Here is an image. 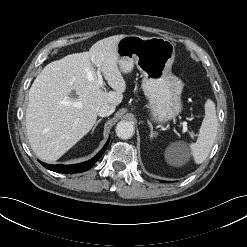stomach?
<instances>
[{
    "instance_id": "1",
    "label": "stomach",
    "mask_w": 247,
    "mask_h": 247,
    "mask_svg": "<svg viewBox=\"0 0 247 247\" xmlns=\"http://www.w3.org/2000/svg\"><path fill=\"white\" fill-rule=\"evenodd\" d=\"M118 64L123 73L134 65L143 74L142 90L156 121L168 122L182 109V80L172 73L175 59L173 42L161 37L125 35L117 44Z\"/></svg>"
}]
</instances>
